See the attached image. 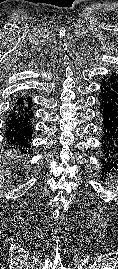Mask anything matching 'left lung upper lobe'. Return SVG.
<instances>
[{"label": "left lung upper lobe", "mask_w": 118, "mask_h": 269, "mask_svg": "<svg viewBox=\"0 0 118 269\" xmlns=\"http://www.w3.org/2000/svg\"><path fill=\"white\" fill-rule=\"evenodd\" d=\"M103 83L114 90H118V74L112 73L111 76L103 79Z\"/></svg>", "instance_id": "obj_1"}]
</instances>
